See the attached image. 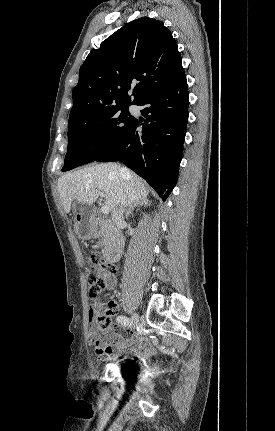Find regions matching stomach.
Returning a JSON list of instances; mask_svg holds the SVG:
<instances>
[{
	"label": "stomach",
	"mask_w": 275,
	"mask_h": 431,
	"mask_svg": "<svg viewBox=\"0 0 275 431\" xmlns=\"http://www.w3.org/2000/svg\"><path fill=\"white\" fill-rule=\"evenodd\" d=\"M74 214L75 232L83 239L91 238L95 232L93 210L90 205L74 202L72 205Z\"/></svg>",
	"instance_id": "1"
}]
</instances>
